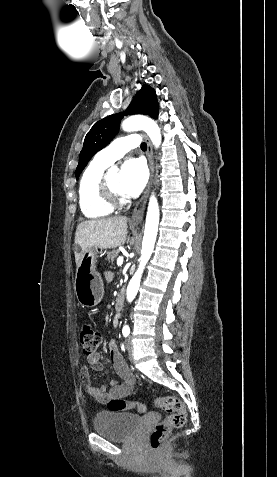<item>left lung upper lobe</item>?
<instances>
[{
	"instance_id": "5c2ea615",
	"label": "left lung upper lobe",
	"mask_w": 277,
	"mask_h": 477,
	"mask_svg": "<svg viewBox=\"0 0 277 477\" xmlns=\"http://www.w3.org/2000/svg\"><path fill=\"white\" fill-rule=\"evenodd\" d=\"M159 105L156 93L149 85H143L141 90L126 109L125 113L113 114L96 122L87 133L82 151L79 156V164L76 169V179L79 178L88 161L92 156L108 145L119 130L120 121L124 115L144 114L157 118Z\"/></svg>"
}]
</instances>
